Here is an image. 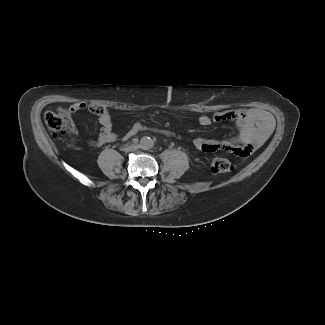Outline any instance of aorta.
I'll use <instances>...</instances> for the list:
<instances>
[{"instance_id": "762f6f07", "label": "aorta", "mask_w": 325, "mask_h": 325, "mask_svg": "<svg viewBox=\"0 0 325 325\" xmlns=\"http://www.w3.org/2000/svg\"><path fill=\"white\" fill-rule=\"evenodd\" d=\"M154 145L153 140L150 137H142L140 140V146L142 149H150Z\"/></svg>"}]
</instances>
